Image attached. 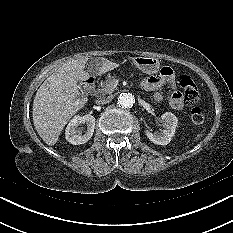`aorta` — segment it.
<instances>
[{
  "instance_id": "762f6f07",
  "label": "aorta",
  "mask_w": 233,
  "mask_h": 233,
  "mask_svg": "<svg viewBox=\"0 0 233 233\" xmlns=\"http://www.w3.org/2000/svg\"><path fill=\"white\" fill-rule=\"evenodd\" d=\"M135 103V97L132 93H121L118 97V105L122 108H131Z\"/></svg>"
}]
</instances>
